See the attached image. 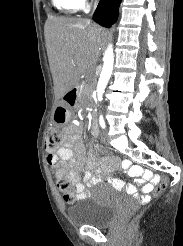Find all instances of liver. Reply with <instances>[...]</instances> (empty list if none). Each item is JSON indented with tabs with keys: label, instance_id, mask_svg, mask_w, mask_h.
<instances>
[{
	"label": "liver",
	"instance_id": "obj_1",
	"mask_svg": "<svg viewBox=\"0 0 183 246\" xmlns=\"http://www.w3.org/2000/svg\"><path fill=\"white\" fill-rule=\"evenodd\" d=\"M46 47L55 98H62L97 61L104 29L86 19L50 17Z\"/></svg>",
	"mask_w": 183,
	"mask_h": 246
}]
</instances>
